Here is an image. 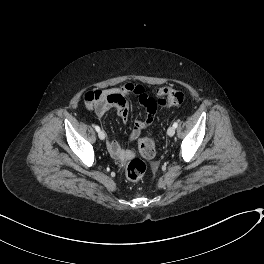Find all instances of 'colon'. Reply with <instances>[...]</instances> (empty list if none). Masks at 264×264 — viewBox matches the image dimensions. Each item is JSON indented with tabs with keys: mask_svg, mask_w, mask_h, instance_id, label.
Here are the masks:
<instances>
[{
	"mask_svg": "<svg viewBox=\"0 0 264 264\" xmlns=\"http://www.w3.org/2000/svg\"><path fill=\"white\" fill-rule=\"evenodd\" d=\"M184 94L181 91L171 90L169 88H159L152 95L145 93L138 94V99L147 109H153L157 105L173 106L181 104L184 101ZM137 128H145L142 122L136 123ZM140 154L147 159L153 158L156 154L155 143L150 135H145L138 141ZM146 164L140 159H133L127 166L126 178L130 181L140 180L146 172Z\"/></svg>",
	"mask_w": 264,
	"mask_h": 264,
	"instance_id": "obj_1",
	"label": "colon"
}]
</instances>
